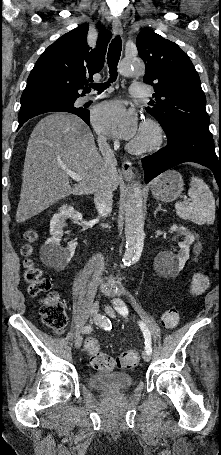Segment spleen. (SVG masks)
Returning a JSON list of instances; mask_svg holds the SVG:
<instances>
[{
	"label": "spleen",
	"instance_id": "spleen-1",
	"mask_svg": "<svg viewBox=\"0 0 221 455\" xmlns=\"http://www.w3.org/2000/svg\"><path fill=\"white\" fill-rule=\"evenodd\" d=\"M188 190L189 202L175 203L177 216L198 225L212 224L215 220V199L207 184L199 177L192 176Z\"/></svg>",
	"mask_w": 221,
	"mask_h": 455
}]
</instances>
